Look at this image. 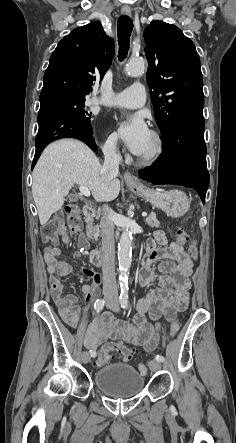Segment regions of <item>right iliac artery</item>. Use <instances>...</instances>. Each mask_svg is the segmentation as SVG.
<instances>
[{"label":"right iliac artery","instance_id":"obj_1","mask_svg":"<svg viewBox=\"0 0 236 443\" xmlns=\"http://www.w3.org/2000/svg\"><path fill=\"white\" fill-rule=\"evenodd\" d=\"M104 303L105 301L103 299H97L95 304H94V308L97 312L101 311L104 307ZM92 357L96 356V353L94 351H89Z\"/></svg>","mask_w":236,"mask_h":443}]
</instances>
